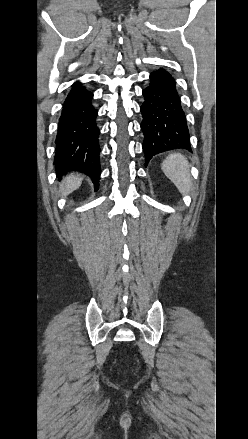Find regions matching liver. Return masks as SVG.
<instances>
[{
  "instance_id": "6515ba94",
  "label": "liver",
  "mask_w": 248,
  "mask_h": 439,
  "mask_svg": "<svg viewBox=\"0 0 248 439\" xmlns=\"http://www.w3.org/2000/svg\"><path fill=\"white\" fill-rule=\"evenodd\" d=\"M82 182V178L79 174L68 175L61 185L62 196H66L76 190Z\"/></svg>"
}]
</instances>
